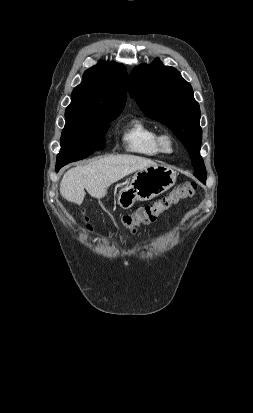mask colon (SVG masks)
Listing matches in <instances>:
<instances>
[{
	"mask_svg": "<svg viewBox=\"0 0 253 413\" xmlns=\"http://www.w3.org/2000/svg\"><path fill=\"white\" fill-rule=\"evenodd\" d=\"M197 191V184L194 181H185L174 187L167 195L157 201L139 207L136 211L126 214L122 218V224L126 231L133 233L142 224H148L169 210L180 200L191 198ZM83 219L89 232H95V226L86 212L83 213Z\"/></svg>",
	"mask_w": 253,
	"mask_h": 413,
	"instance_id": "1",
	"label": "colon"
}]
</instances>
